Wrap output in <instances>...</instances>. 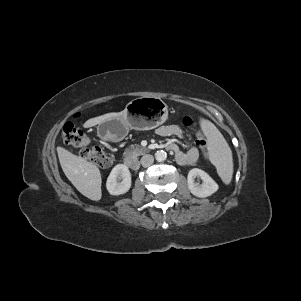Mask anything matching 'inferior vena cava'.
I'll use <instances>...</instances> for the list:
<instances>
[{
    "mask_svg": "<svg viewBox=\"0 0 301 301\" xmlns=\"http://www.w3.org/2000/svg\"><path fill=\"white\" fill-rule=\"evenodd\" d=\"M140 161L143 167H149L153 164L154 158L152 155L146 154L141 158Z\"/></svg>",
    "mask_w": 301,
    "mask_h": 301,
    "instance_id": "602c4592",
    "label": "inferior vena cava"
}]
</instances>
